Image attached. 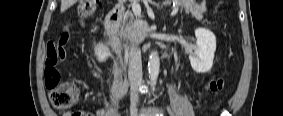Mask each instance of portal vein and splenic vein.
Listing matches in <instances>:
<instances>
[{
    "mask_svg": "<svg viewBox=\"0 0 283 116\" xmlns=\"http://www.w3.org/2000/svg\"><path fill=\"white\" fill-rule=\"evenodd\" d=\"M132 2V11L136 17H139L141 15V7L139 4L136 3L135 0L131 1ZM178 12V6L174 7L171 16H175Z\"/></svg>",
    "mask_w": 283,
    "mask_h": 116,
    "instance_id": "obj_1",
    "label": "portal vein and splenic vein"
}]
</instances>
